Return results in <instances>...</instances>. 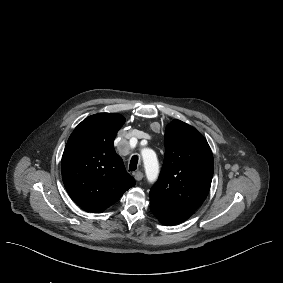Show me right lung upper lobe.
<instances>
[{
	"label": "right lung upper lobe",
	"mask_w": 283,
	"mask_h": 283,
	"mask_svg": "<svg viewBox=\"0 0 283 283\" xmlns=\"http://www.w3.org/2000/svg\"><path fill=\"white\" fill-rule=\"evenodd\" d=\"M125 118L117 113H98L86 118L66 144L61 170L65 188L81 208L101 213L135 185L114 139Z\"/></svg>",
	"instance_id": "obj_1"
}]
</instances>
